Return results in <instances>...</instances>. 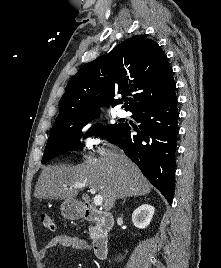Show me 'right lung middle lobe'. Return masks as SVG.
Wrapping results in <instances>:
<instances>
[{"label": "right lung middle lobe", "mask_w": 221, "mask_h": 268, "mask_svg": "<svg viewBox=\"0 0 221 268\" xmlns=\"http://www.w3.org/2000/svg\"><path fill=\"white\" fill-rule=\"evenodd\" d=\"M100 113L89 114L67 120H56L48 138L42 163L67 151L79 150L83 147L80 143V131L90 120L99 116ZM122 123L102 126L94 125L89 134H96L107 138L110 133L119 128Z\"/></svg>", "instance_id": "obj_1"}]
</instances>
